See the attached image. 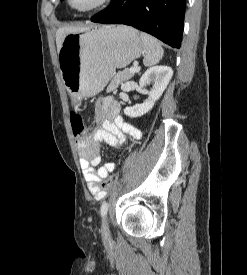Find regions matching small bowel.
Here are the masks:
<instances>
[{
	"label": "small bowel",
	"mask_w": 247,
	"mask_h": 275,
	"mask_svg": "<svg viewBox=\"0 0 247 275\" xmlns=\"http://www.w3.org/2000/svg\"><path fill=\"white\" fill-rule=\"evenodd\" d=\"M96 122L101 125L91 137L78 141L80 164L84 172L89 191L96 200L106 197L100 182L114 171L116 164L107 162L100 166V147L107 143L113 147H121L128 137L139 140L142 133L131 124L125 122L120 115V104L109 97L99 100L95 105Z\"/></svg>",
	"instance_id": "obj_1"
}]
</instances>
